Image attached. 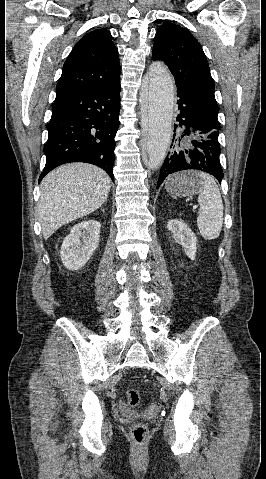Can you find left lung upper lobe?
Segmentation results:
<instances>
[{"label": "left lung upper lobe", "instance_id": "5c2ea615", "mask_svg": "<svg viewBox=\"0 0 266 479\" xmlns=\"http://www.w3.org/2000/svg\"><path fill=\"white\" fill-rule=\"evenodd\" d=\"M153 60H162L175 78L177 91H182L217 118L210 68L203 49L185 28L165 22L155 35Z\"/></svg>", "mask_w": 266, "mask_h": 479}]
</instances>
